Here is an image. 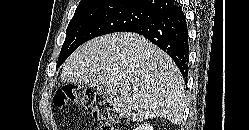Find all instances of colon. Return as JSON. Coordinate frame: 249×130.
<instances>
[{
	"label": "colon",
	"mask_w": 249,
	"mask_h": 130,
	"mask_svg": "<svg viewBox=\"0 0 249 130\" xmlns=\"http://www.w3.org/2000/svg\"><path fill=\"white\" fill-rule=\"evenodd\" d=\"M53 103L57 107L66 104L79 105L99 121L101 130H119L118 119L110 102L90 89L75 84H63L56 90Z\"/></svg>",
	"instance_id": "obj_1"
}]
</instances>
